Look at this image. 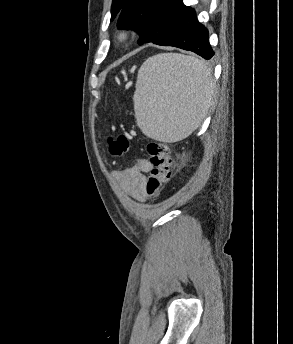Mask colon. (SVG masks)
Instances as JSON below:
<instances>
[{"instance_id":"1","label":"colon","mask_w":293,"mask_h":344,"mask_svg":"<svg viewBox=\"0 0 293 344\" xmlns=\"http://www.w3.org/2000/svg\"><path fill=\"white\" fill-rule=\"evenodd\" d=\"M108 143L110 153L114 157L122 156L129 148V141L123 134L109 138ZM146 150L152 169L145 181V190L148 196L155 197L171 178L170 147L163 142L151 141L147 144Z\"/></svg>"}]
</instances>
